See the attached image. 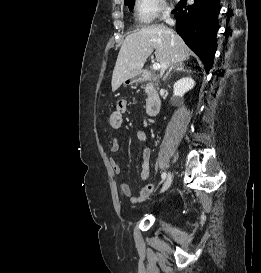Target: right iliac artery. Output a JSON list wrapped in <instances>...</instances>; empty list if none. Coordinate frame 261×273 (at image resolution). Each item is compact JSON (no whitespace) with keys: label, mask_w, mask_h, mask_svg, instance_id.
<instances>
[{"label":"right iliac artery","mask_w":261,"mask_h":273,"mask_svg":"<svg viewBox=\"0 0 261 273\" xmlns=\"http://www.w3.org/2000/svg\"><path fill=\"white\" fill-rule=\"evenodd\" d=\"M166 176H167V174H166L165 172H163V173L161 174V177H162V180H163V181L166 179Z\"/></svg>","instance_id":"right-iliac-artery-1"}]
</instances>
